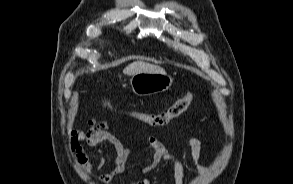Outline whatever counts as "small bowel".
<instances>
[{"mask_svg":"<svg viewBox=\"0 0 293 184\" xmlns=\"http://www.w3.org/2000/svg\"><path fill=\"white\" fill-rule=\"evenodd\" d=\"M87 127V130L74 129L70 132V150L76 156L79 168L87 174L92 169L93 164L90 162L89 154L86 152L84 146L91 147L99 153L100 158L95 164L98 169H101L106 163L101 144L108 143L113 146L116 153L114 166L109 172L101 175L99 178L101 184H108L115 176L126 171L132 151L123 147L119 139L108 131L109 124L106 121L91 119L88 121ZM147 141L150 148L153 150L152 159L150 162L141 166V177L130 182V184H151L147 175L162 163H170L172 165L174 184H183L185 173L181 161L171 154L155 135H148ZM188 146L192 162L198 174L201 176L206 175L207 169L200 161L202 149L201 139L197 136H193L189 140Z\"/></svg>","mask_w":293,"mask_h":184,"instance_id":"c3829d8e","label":"small bowel"}]
</instances>
